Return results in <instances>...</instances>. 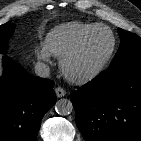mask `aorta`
<instances>
[{
    "label": "aorta",
    "instance_id": "obj_1",
    "mask_svg": "<svg viewBox=\"0 0 141 141\" xmlns=\"http://www.w3.org/2000/svg\"><path fill=\"white\" fill-rule=\"evenodd\" d=\"M55 110L59 115H68L73 111L72 102L68 99H59L55 104Z\"/></svg>",
    "mask_w": 141,
    "mask_h": 141
}]
</instances>
